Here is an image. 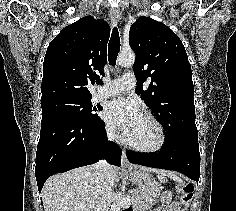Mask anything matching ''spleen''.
Listing matches in <instances>:
<instances>
[{"mask_svg":"<svg viewBox=\"0 0 236 211\" xmlns=\"http://www.w3.org/2000/svg\"><path fill=\"white\" fill-rule=\"evenodd\" d=\"M168 177H173V174L172 173H167V172H164V173H160V175H158V179L160 180V182H167V178Z\"/></svg>","mask_w":236,"mask_h":211,"instance_id":"spleen-1","label":"spleen"}]
</instances>
